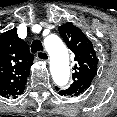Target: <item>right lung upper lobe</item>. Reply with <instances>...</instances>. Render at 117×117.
I'll list each match as a JSON object with an SVG mask.
<instances>
[{
	"label": "right lung upper lobe",
	"mask_w": 117,
	"mask_h": 117,
	"mask_svg": "<svg viewBox=\"0 0 117 117\" xmlns=\"http://www.w3.org/2000/svg\"><path fill=\"white\" fill-rule=\"evenodd\" d=\"M33 55L12 29L0 35V95L16 98L25 88Z\"/></svg>",
	"instance_id": "1"
}]
</instances>
